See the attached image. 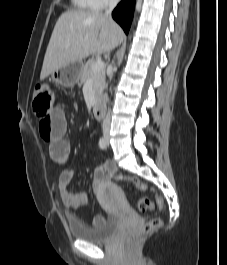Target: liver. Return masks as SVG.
I'll return each mask as SVG.
<instances>
[{
	"instance_id": "1",
	"label": "liver",
	"mask_w": 227,
	"mask_h": 265,
	"mask_svg": "<svg viewBox=\"0 0 227 265\" xmlns=\"http://www.w3.org/2000/svg\"><path fill=\"white\" fill-rule=\"evenodd\" d=\"M123 38L121 27L101 13L67 11L59 17L52 32L40 79L89 55L109 53Z\"/></svg>"
}]
</instances>
